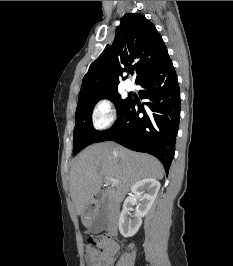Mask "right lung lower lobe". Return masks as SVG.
I'll use <instances>...</instances> for the list:
<instances>
[{"label": "right lung lower lobe", "instance_id": "1", "mask_svg": "<svg viewBox=\"0 0 233 266\" xmlns=\"http://www.w3.org/2000/svg\"><path fill=\"white\" fill-rule=\"evenodd\" d=\"M136 84L147 99L145 107L133 99L119 115L114 125L95 142L115 141L124 147L157 157L168 174L174 158L180 116V96L177 75L169 56L147 72ZM139 113H143L139 117Z\"/></svg>", "mask_w": 233, "mask_h": 266}]
</instances>
